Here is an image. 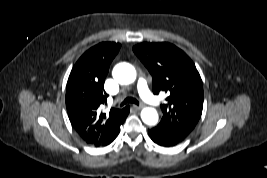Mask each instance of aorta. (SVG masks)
<instances>
[{
	"instance_id": "obj_1",
	"label": "aorta",
	"mask_w": 267,
	"mask_h": 178,
	"mask_svg": "<svg viewBox=\"0 0 267 178\" xmlns=\"http://www.w3.org/2000/svg\"><path fill=\"white\" fill-rule=\"evenodd\" d=\"M113 78L120 84H131L135 81L137 73L129 63L117 64L112 72ZM141 119L147 125H155L158 122V113L154 108L146 107L141 111Z\"/></svg>"
}]
</instances>
